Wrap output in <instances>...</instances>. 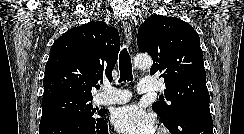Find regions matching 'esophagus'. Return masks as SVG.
Returning <instances> with one entry per match:
<instances>
[{
    "instance_id": "34e87169",
    "label": "esophagus",
    "mask_w": 244,
    "mask_h": 134,
    "mask_svg": "<svg viewBox=\"0 0 244 134\" xmlns=\"http://www.w3.org/2000/svg\"><path fill=\"white\" fill-rule=\"evenodd\" d=\"M123 29H124V33H125L127 43L129 46H131V44H132V28H131L130 23L127 21V19L123 20Z\"/></svg>"
}]
</instances>
